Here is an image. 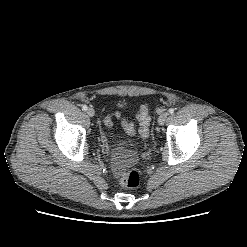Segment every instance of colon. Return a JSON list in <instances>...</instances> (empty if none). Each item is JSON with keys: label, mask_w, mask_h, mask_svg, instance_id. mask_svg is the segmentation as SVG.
Returning <instances> with one entry per match:
<instances>
[{"label": "colon", "mask_w": 247, "mask_h": 247, "mask_svg": "<svg viewBox=\"0 0 247 247\" xmlns=\"http://www.w3.org/2000/svg\"><path fill=\"white\" fill-rule=\"evenodd\" d=\"M114 116L121 118V115L116 112ZM137 120L139 122L138 135L141 138H146L149 135V129L151 124V117L149 114V108L146 105H141L137 114ZM106 126L110 127L112 125L111 117H108L105 120ZM122 124L125 130L129 134H135L134 125L125 119H122ZM141 183V175L137 170H129L122 173L120 178V184L127 189H136Z\"/></svg>", "instance_id": "5ec220e1"}]
</instances>
